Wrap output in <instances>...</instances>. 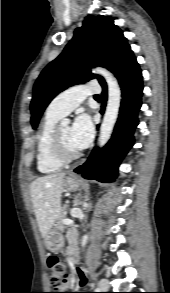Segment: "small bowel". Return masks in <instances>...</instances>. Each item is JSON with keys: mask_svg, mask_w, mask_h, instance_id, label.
Instances as JSON below:
<instances>
[{"mask_svg": "<svg viewBox=\"0 0 170 293\" xmlns=\"http://www.w3.org/2000/svg\"><path fill=\"white\" fill-rule=\"evenodd\" d=\"M69 240H70V242H73L75 240V233L74 232L69 233ZM75 276H76V280H77L76 284L79 287H84L86 284V275H85V272L83 271V269L76 268Z\"/></svg>", "mask_w": 170, "mask_h": 293, "instance_id": "1", "label": "small bowel"}]
</instances>
